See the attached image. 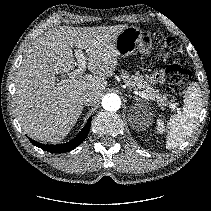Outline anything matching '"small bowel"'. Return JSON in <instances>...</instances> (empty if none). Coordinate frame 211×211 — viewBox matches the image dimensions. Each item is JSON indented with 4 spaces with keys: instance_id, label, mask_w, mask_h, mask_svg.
<instances>
[{
    "instance_id": "obj_1",
    "label": "small bowel",
    "mask_w": 211,
    "mask_h": 211,
    "mask_svg": "<svg viewBox=\"0 0 211 211\" xmlns=\"http://www.w3.org/2000/svg\"><path fill=\"white\" fill-rule=\"evenodd\" d=\"M150 80H151L152 82H160V81L162 80V76H161L160 73L155 72V73H153V74L151 75Z\"/></svg>"
}]
</instances>
